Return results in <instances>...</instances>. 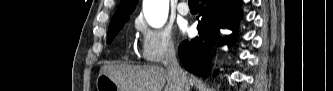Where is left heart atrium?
I'll return each instance as SVG.
<instances>
[{
  "instance_id": "39dd6f15",
  "label": "left heart atrium",
  "mask_w": 333,
  "mask_h": 91,
  "mask_svg": "<svg viewBox=\"0 0 333 91\" xmlns=\"http://www.w3.org/2000/svg\"><path fill=\"white\" fill-rule=\"evenodd\" d=\"M184 31H188V29H187V28H185V29H184Z\"/></svg>"
}]
</instances>
